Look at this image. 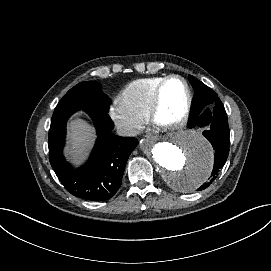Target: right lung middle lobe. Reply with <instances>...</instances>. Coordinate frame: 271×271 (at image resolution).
I'll use <instances>...</instances> for the list:
<instances>
[{"label":"right lung middle lobe","mask_w":271,"mask_h":271,"mask_svg":"<svg viewBox=\"0 0 271 271\" xmlns=\"http://www.w3.org/2000/svg\"><path fill=\"white\" fill-rule=\"evenodd\" d=\"M93 106L104 111L109 110L110 99L100 91V85L95 81H84L72 89L57 104L55 111L78 106Z\"/></svg>","instance_id":"obj_1"}]
</instances>
